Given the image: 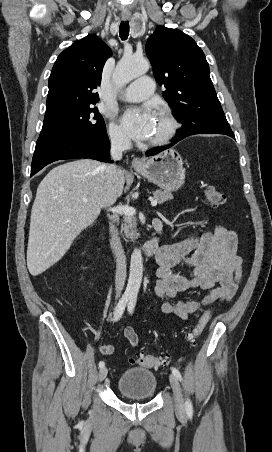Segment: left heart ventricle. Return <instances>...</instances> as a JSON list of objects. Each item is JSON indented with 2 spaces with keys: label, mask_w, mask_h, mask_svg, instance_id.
<instances>
[{
  "label": "left heart ventricle",
  "mask_w": 272,
  "mask_h": 452,
  "mask_svg": "<svg viewBox=\"0 0 272 452\" xmlns=\"http://www.w3.org/2000/svg\"><path fill=\"white\" fill-rule=\"evenodd\" d=\"M167 124L165 119L163 118L162 115H158L155 117V119L153 120V125H152V131L151 134L149 136V140L151 139H155L159 136H161L164 131L166 130Z\"/></svg>",
  "instance_id": "obj_1"
}]
</instances>
